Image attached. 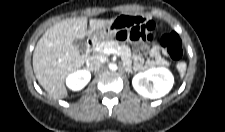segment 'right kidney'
Returning a JSON list of instances; mask_svg holds the SVG:
<instances>
[{"label":"right kidney","mask_w":225,"mask_h":132,"mask_svg":"<svg viewBox=\"0 0 225 132\" xmlns=\"http://www.w3.org/2000/svg\"><path fill=\"white\" fill-rule=\"evenodd\" d=\"M91 79V74L88 70H78L70 74L66 79V85L73 91L83 89Z\"/></svg>","instance_id":"ca27d5eb"}]
</instances>
